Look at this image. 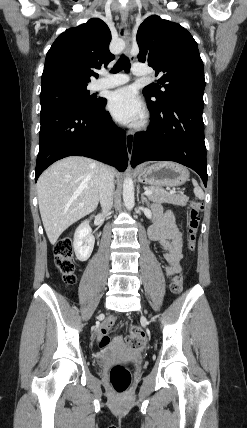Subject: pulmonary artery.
Listing matches in <instances>:
<instances>
[{
    "label": "pulmonary artery",
    "mask_w": 247,
    "mask_h": 428,
    "mask_svg": "<svg viewBox=\"0 0 247 428\" xmlns=\"http://www.w3.org/2000/svg\"><path fill=\"white\" fill-rule=\"evenodd\" d=\"M132 73L136 76H145L149 74L147 66L141 63H136L132 67ZM129 80L126 74H112L98 80L95 84V89L113 88L127 83Z\"/></svg>",
    "instance_id": "pulmonary-artery-1"
}]
</instances>
